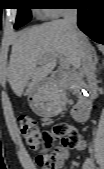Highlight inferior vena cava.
<instances>
[{"label":"inferior vena cava","mask_w":104,"mask_h":169,"mask_svg":"<svg viewBox=\"0 0 104 169\" xmlns=\"http://www.w3.org/2000/svg\"><path fill=\"white\" fill-rule=\"evenodd\" d=\"M63 21L68 27L70 33L79 41L81 54V73L86 77L93 98L97 97V80L93 62L91 45L81 38L77 27V9H65Z\"/></svg>","instance_id":"inferior-vena-cava-1"}]
</instances>
